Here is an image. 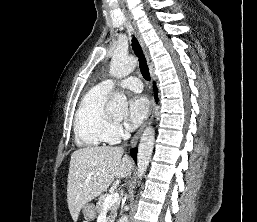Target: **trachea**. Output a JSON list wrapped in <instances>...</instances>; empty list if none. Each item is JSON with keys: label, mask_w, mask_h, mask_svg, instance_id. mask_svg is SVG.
<instances>
[{"label": "trachea", "mask_w": 257, "mask_h": 222, "mask_svg": "<svg viewBox=\"0 0 257 222\" xmlns=\"http://www.w3.org/2000/svg\"><path fill=\"white\" fill-rule=\"evenodd\" d=\"M132 48H133L135 55L138 58L139 68H140V72H141L143 78L147 81H150V73H149V68H148L147 62H146V58L144 56V53L141 49L139 42L137 41V39L135 38L134 35L132 37Z\"/></svg>", "instance_id": "3493384b"}]
</instances>
